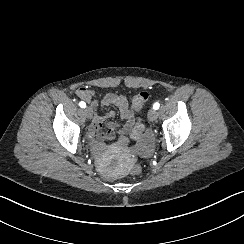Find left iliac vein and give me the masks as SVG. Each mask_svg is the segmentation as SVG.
Listing matches in <instances>:
<instances>
[{"mask_svg": "<svg viewBox=\"0 0 244 244\" xmlns=\"http://www.w3.org/2000/svg\"><path fill=\"white\" fill-rule=\"evenodd\" d=\"M150 121H155L158 118V112L155 109L149 110L147 114Z\"/></svg>", "mask_w": 244, "mask_h": 244, "instance_id": "4c4485c4", "label": "left iliac vein"}]
</instances>
